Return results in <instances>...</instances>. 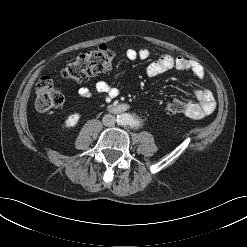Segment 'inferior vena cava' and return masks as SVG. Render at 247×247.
<instances>
[{
	"mask_svg": "<svg viewBox=\"0 0 247 247\" xmlns=\"http://www.w3.org/2000/svg\"><path fill=\"white\" fill-rule=\"evenodd\" d=\"M102 122H103V125H105L107 127H111V126L115 125L116 117L111 115V114H106V115H104Z\"/></svg>",
	"mask_w": 247,
	"mask_h": 247,
	"instance_id": "602c4592",
	"label": "inferior vena cava"
}]
</instances>
